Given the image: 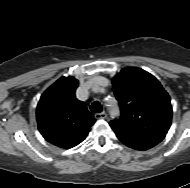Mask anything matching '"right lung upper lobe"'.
Listing matches in <instances>:
<instances>
[{"label": "right lung upper lobe", "instance_id": "1", "mask_svg": "<svg viewBox=\"0 0 190 188\" xmlns=\"http://www.w3.org/2000/svg\"><path fill=\"white\" fill-rule=\"evenodd\" d=\"M78 80L61 77L41 96L37 105V123L42 136L51 144L69 149L81 143L95 118L75 97Z\"/></svg>", "mask_w": 190, "mask_h": 188}]
</instances>
